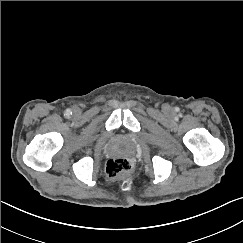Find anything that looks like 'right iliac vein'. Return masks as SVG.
I'll return each mask as SVG.
<instances>
[{
  "mask_svg": "<svg viewBox=\"0 0 243 243\" xmlns=\"http://www.w3.org/2000/svg\"><path fill=\"white\" fill-rule=\"evenodd\" d=\"M73 112H74L75 114H77V113H79V109H78V108H74V109H73Z\"/></svg>",
  "mask_w": 243,
  "mask_h": 243,
  "instance_id": "right-iliac-vein-1",
  "label": "right iliac vein"
}]
</instances>
